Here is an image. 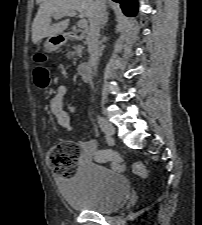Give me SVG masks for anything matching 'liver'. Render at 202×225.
<instances>
[{
	"mask_svg": "<svg viewBox=\"0 0 202 225\" xmlns=\"http://www.w3.org/2000/svg\"><path fill=\"white\" fill-rule=\"evenodd\" d=\"M95 4L96 0H43L32 24L33 43L38 44L43 38L53 37L67 28V20L51 25L52 15L78 11L80 17L90 19L94 13Z\"/></svg>",
	"mask_w": 202,
	"mask_h": 225,
	"instance_id": "liver-1",
	"label": "liver"
}]
</instances>
